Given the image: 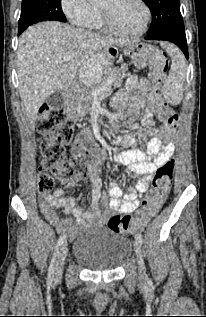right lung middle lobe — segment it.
<instances>
[{
  "label": "right lung middle lobe",
  "mask_w": 206,
  "mask_h": 317,
  "mask_svg": "<svg viewBox=\"0 0 206 317\" xmlns=\"http://www.w3.org/2000/svg\"><path fill=\"white\" fill-rule=\"evenodd\" d=\"M45 20L65 22L61 0H23L22 12L18 22L19 33L28 26Z\"/></svg>",
  "instance_id": "right-lung-middle-lobe-1"
}]
</instances>
